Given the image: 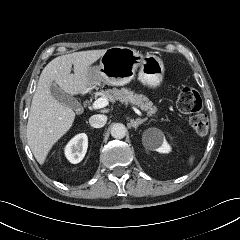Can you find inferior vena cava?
I'll list each match as a JSON object with an SVG mask.
<instances>
[{"label": "inferior vena cava", "mask_w": 240, "mask_h": 240, "mask_svg": "<svg viewBox=\"0 0 240 240\" xmlns=\"http://www.w3.org/2000/svg\"><path fill=\"white\" fill-rule=\"evenodd\" d=\"M107 117L105 115L97 114L89 118V123L94 128H101L106 124Z\"/></svg>", "instance_id": "602c4592"}]
</instances>
